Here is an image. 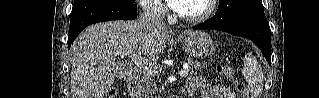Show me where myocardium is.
Masks as SVG:
<instances>
[{
    "instance_id": "myocardium-1",
    "label": "myocardium",
    "mask_w": 319,
    "mask_h": 98,
    "mask_svg": "<svg viewBox=\"0 0 319 98\" xmlns=\"http://www.w3.org/2000/svg\"><path fill=\"white\" fill-rule=\"evenodd\" d=\"M205 7L204 10L196 15H185L180 14L179 17L181 20H184L188 23H201L207 20L214 12L216 0H204Z\"/></svg>"
}]
</instances>
